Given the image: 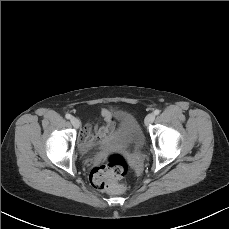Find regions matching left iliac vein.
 Masks as SVG:
<instances>
[{"mask_svg": "<svg viewBox=\"0 0 229 229\" xmlns=\"http://www.w3.org/2000/svg\"><path fill=\"white\" fill-rule=\"evenodd\" d=\"M154 119H155V115L153 113L148 114L145 118V124L146 125L151 124L154 121Z\"/></svg>", "mask_w": 229, "mask_h": 229, "instance_id": "4c4485c4", "label": "left iliac vein"}]
</instances>
